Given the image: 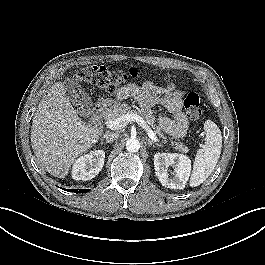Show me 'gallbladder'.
<instances>
[{
	"mask_svg": "<svg viewBox=\"0 0 265 265\" xmlns=\"http://www.w3.org/2000/svg\"><path fill=\"white\" fill-rule=\"evenodd\" d=\"M64 90L73 105L78 107L79 114L86 118L91 114L92 100L78 81L68 78L63 83Z\"/></svg>",
	"mask_w": 265,
	"mask_h": 265,
	"instance_id": "gallbladder-1",
	"label": "gallbladder"
}]
</instances>
